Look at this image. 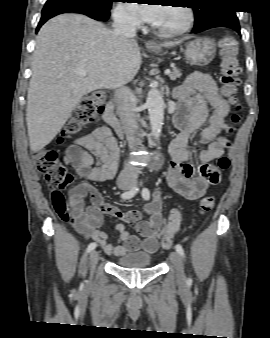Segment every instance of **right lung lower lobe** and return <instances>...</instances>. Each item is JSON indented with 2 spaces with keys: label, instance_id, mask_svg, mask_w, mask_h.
Segmentation results:
<instances>
[{
  "label": "right lung lower lobe",
  "instance_id": "obj_1",
  "mask_svg": "<svg viewBox=\"0 0 270 338\" xmlns=\"http://www.w3.org/2000/svg\"><path fill=\"white\" fill-rule=\"evenodd\" d=\"M68 12H76L87 15L95 20H106L109 15V10L98 9L95 7L83 6V5H45L42 10V17L37 26L36 32L40 27L50 18Z\"/></svg>",
  "mask_w": 270,
  "mask_h": 338
}]
</instances>
